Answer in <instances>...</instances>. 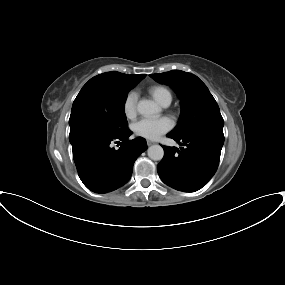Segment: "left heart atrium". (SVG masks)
Here are the masks:
<instances>
[{
    "label": "left heart atrium",
    "mask_w": 285,
    "mask_h": 285,
    "mask_svg": "<svg viewBox=\"0 0 285 285\" xmlns=\"http://www.w3.org/2000/svg\"><path fill=\"white\" fill-rule=\"evenodd\" d=\"M172 128V122L168 118H143L134 124L133 130L137 136L149 140H156L162 134Z\"/></svg>",
    "instance_id": "1"
}]
</instances>
